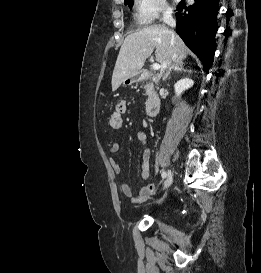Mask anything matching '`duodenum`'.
<instances>
[{"label":"duodenum","mask_w":261,"mask_h":273,"mask_svg":"<svg viewBox=\"0 0 261 273\" xmlns=\"http://www.w3.org/2000/svg\"><path fill=\"white\" fill-rule=\"evenodd\" d=\"M151 75L149 73H143L141 80L151 79ZM160 108V99L157 96H152L149 98L146 105V112L149 116H155Z\"/></svg>","instance_id":"duodenum-1"}]
</instances>
